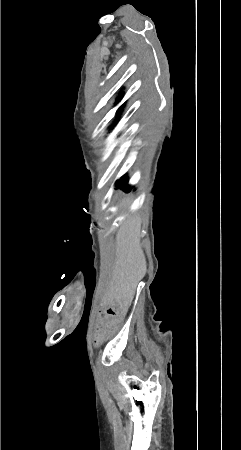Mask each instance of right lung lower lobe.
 Listing matches in <instances>:
<instances>
[{
    "label": "right lung lower lobe",
    "mask_w": 241,
    "mask_h": 450,
    "mask_svg": "<svg viewBox=\"0 0 241 450\" xmlns=\"http://www.w3.org/2000/svg\"><path fill=\"white\" fill-rule=\"evenodd\" d=\"M116 186L118 188H121V189L125 190L126 192H128L129 190L127 189V187H128V185H127V177L126 176L121 177L120 180H118L116 182Z\"/></svg>",
    "instance_id": "right-lung-lower-lobe-1"
}]
</instances>
